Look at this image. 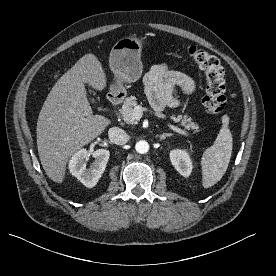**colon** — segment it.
<instances>
[{
  "instance_id": "5ec220e1",
  "label": "colon",
  "mask_w": 276,
  "mask_h": 276,
  "mask_svg": "<svg viewBox=\"0 0 276 276\" xmlns=\"http://www.w3.org/2000/svg\"><path fill=\"white\" fill-rule=\"evenodd\" d=\"M188 54L204 72L206 78L205 96L202 103L209 115L218 118L226 105L225 77L219 60L197 46H190Z\"/></svg>"
}]
</instances>
